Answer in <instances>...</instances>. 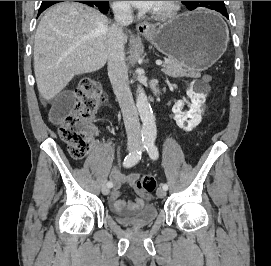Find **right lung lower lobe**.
<instances>
[{
    "mask_svg": "<svg viewBox=\"0 0 271 266\" xmlns=\"http://www.w3.org/2000/svg\"><path fill=\"white\" fill-rule=\"evenodd\" d=\"M58 2H62V1H42L38 15L41 14L46 8ZM77 2L87 4L91 7H97L103 13H107V10L109 8L108 1H77Z\"/></svg>",
    "mask_w": 271,
    "mask_h": 266,
    "instance_id": "right-lung-lower-lobe-1",
    "label": "right lung lower lobe"
}]
</instances>
